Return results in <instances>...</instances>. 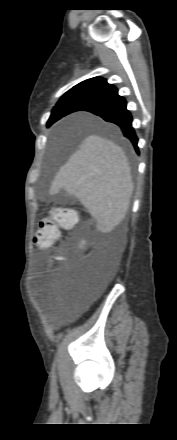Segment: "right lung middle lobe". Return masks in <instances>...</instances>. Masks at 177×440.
<instances>
[{
	"instance_id": "right-lung-middle-lobe-1",
	"label": "right lung middle lobe",
	"mask_w": 177,
	"mask_h": 440,
	"mask_svg": "<svg viewBox=\"0 0 177 440\" xmlns=\"http://www.w3.org/2000/svg\"><path fill=\"white\" fill-rule=\"evenodd\" d=\"M93 102H95V100L91 97L67 92L58 101V103L52 110L51 115H55L57 118H62L67 114L81 110L82 108Z\"/></svg>"
}]
</instances>
